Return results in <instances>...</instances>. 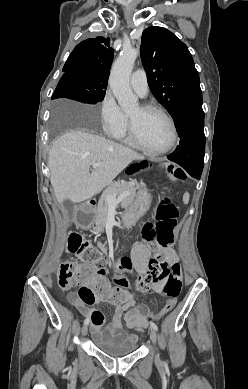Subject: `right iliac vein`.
<instances>
[{"label": "right iliac vein", "mask_w": 248, "mask_h": 389, "mask_svg": "<svg viewBox=\"0 0 248 389\" xmlns=\"http://www.w3.org/2000/svg\"><path fill=\"white\" fill-rule=\"evenodd\" d=\"M87 331H88V326L85 324V325L82 327V330H81L82 336H85V335L87 334Z\"/></svg>", "instance_id": "1"}]
</instances>
